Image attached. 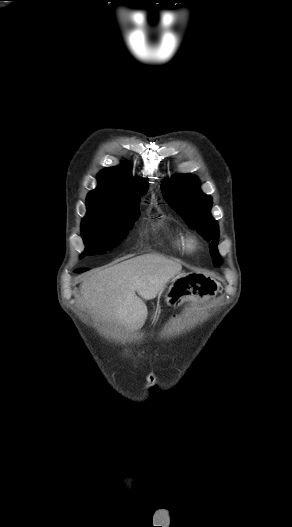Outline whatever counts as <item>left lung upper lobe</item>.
<instances>
[{
  "mask_svg": "<svg viewBox=\"0 0 292 527\" xmlns=\"http://www.w3.org/2000/svg\"><path fill=\"white\" fill-rule=\"evenodd\" d=\"M166 202L184 219L211 241L210 254L214 264L219 262L217 252L218 225L210 214L211 197L199 189V181L191 175L173 177L162 185Z\"/></svg>",
  "mask_w": 292,
  "mask_h": 527,
  "instance_id": "obj_1",
  "label": "left lung upper lobe"
}]
</instances>
